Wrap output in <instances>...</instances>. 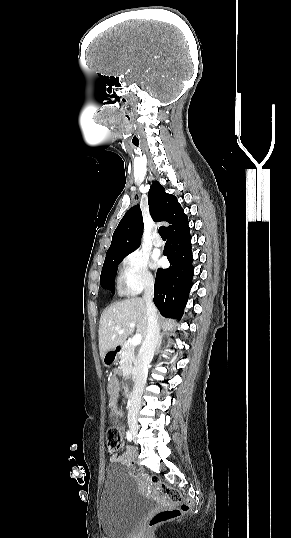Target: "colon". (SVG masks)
Segmentation results:
<instances>
[{"mask_svg": "<svg viewBox=\"0 0 291 538\" xmlns=\"http://www.w3.org/2000/svg\"><path fill=\"white\" fill-rule=\"evenodd\" d=\"M123 446L124 439L120 429L116 426L110 427L107 431V452L111 455H115L123 448ZM132 471L135 475L142 474V469L137 465L132 466ZM152 483L158 488V492L160 494L164 495L170 501L177 504V507L169 510H160L156 512L149 520L147 527L148 533L156 529L158 526L180 517L182 513L187 512L190 508V502L186 501L183 498L179 490L159 484V481L156 477L152 478Z\"/></svg>", "mask_w": 291, "mask_h": 538, "instance_id": "colon-1", "label": "colon"}]
</instances>
